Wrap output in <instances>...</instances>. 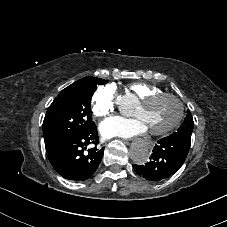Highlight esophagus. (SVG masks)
I'll return each instance as SVG.
<instances>
[{"instance_id": "obj_1", "label": "esophagus", "mask_w": 227, "mask_h": 227, "mask_svg": "<svg viewBox=\"0 0 227 227\" xmlns=\"http://www.w3.org/2000/svg\"><path fill=\"white\" fill-rule=\"evenodd\" d=\"M143 146H147L149 150H154L156 148V143L152 141L151 137L147 141H142Z\"/></svg>"}]
</instances>
